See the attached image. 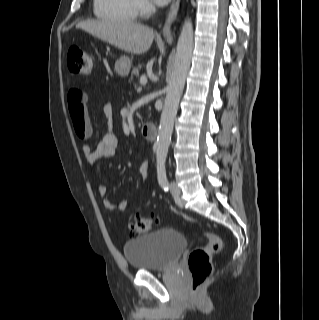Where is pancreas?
<instances>
[{
  "label": "pancreas",
  "mask_w": 319,
  "mask_h": 320,
  "mask_svg": "<svg viewBox=\"0 0 319 320\" xmlns=\"http://www.w3.org/2000/svg\"><path fill=\"white\" fill-rule=\"evenodd\" d=\"M140 68H141V65H139L138 67L133 68L132 73H131L130 81H132L134 77L139 76V69Z\"/></svg>",
  "instance_id": "cf45deb5"
}]
</instances>
